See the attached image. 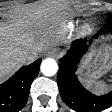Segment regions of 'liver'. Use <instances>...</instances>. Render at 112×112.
Here are the masks:
<instances>
[{"instance_id":"liver-1","label":"liver","mask_w":112,"mask_h":112,"mask_svg":"<svg viewBox=\"0 0 112 112\" xmlns=\"http://www.w3.org/2000/svg\"><path fill=\"white\" fill-rule=\"evenodd\" d=\"M68 14L62 4H31L21 8L12 23H0V83L24 64L22 53H41L59 44L55 28Z\"/></svg>"}]
</instances>
